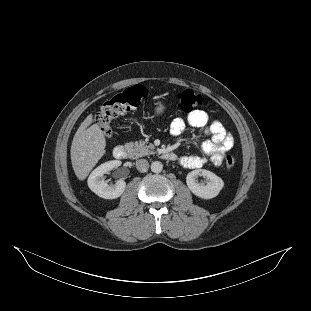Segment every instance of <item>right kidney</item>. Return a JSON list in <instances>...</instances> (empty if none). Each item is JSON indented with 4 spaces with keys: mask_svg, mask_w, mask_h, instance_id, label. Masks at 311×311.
Returning <instances> with one entry per match:
<instances>
[{
    "mask_svg": "<svg viewBox=\"0 0 311 311\" xmlns=\"http://www.w3.org/2000/svg\"><path fill=\"white\" fill-rule=\"evenodd\" d=\"M122 165L121 160L106 161L97 166L89 175L87 184L89 188L98 196L112 199L120 196L125 189V181L119 179L115 184H107L103 175L108 171Z\"/></svg>",
    "mask_w": 311,
    "mask_h": 311,
    "instance_id": "right-kidney-1",
    "label": "right kidney"
}]
</instances>
